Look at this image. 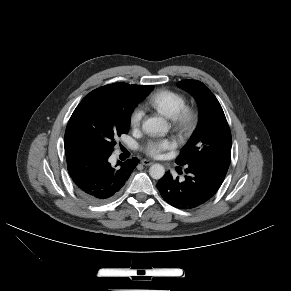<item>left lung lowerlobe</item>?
I'll return each mask as SVG.
<instances>
[{"instance_id":"1","label":"left lung lower lobe","mask_w":291,"mask_h":291,"mask_svg":"<svg viewBox=\"0 0 291 291\" xmlns=\"http://www.w3.org/2000/svg\"><path fill=\"white\" fill-rule=\"evenodd\" d=\"M184 180L167 172L157 183L160 194L170 205L192 209L207 202L224 181L227 170L204 163L186 165Z\"/></svg>"}]
</instances>
